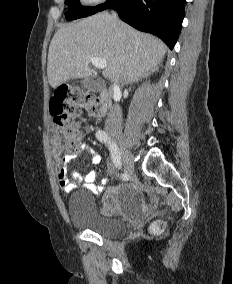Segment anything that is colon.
Listing matches in <instances>:
<instances>
[{"instance_id": "5ec220e1", "label": "colon", "mask_w": 233, "mask_h": 284, "mask_svg": "<svg viewBox=\"0 0 233 284\" xmlns=\"http://www.w3.org/2000/svg\"><path fill=\"white\" fill-rule=\"evenodd\" d=\"M101 107V101L90 95L77 96L71 100L58 95L51 99L50 114L53 123L61 131L67 151H76L82 138L81 130L73 119L75 110L85 109L90 115L96 116ZM163 227L162 223L157 225L158 230H162Z\"/></svg>"}]
</instances>
